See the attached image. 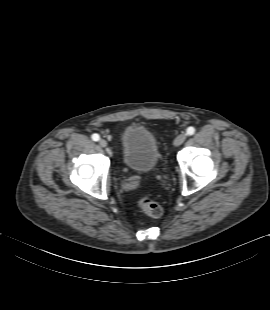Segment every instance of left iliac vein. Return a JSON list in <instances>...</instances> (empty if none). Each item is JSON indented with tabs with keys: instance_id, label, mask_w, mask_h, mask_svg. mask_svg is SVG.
<instances>
[{
	"instance_id": "1",
	"label": "left iliac vein",
	"mask_w": 270,
	"mask_h": 310,
	"mask_svg": "<svg viewBox=\"0 0 270 310\" xmlns=\"http://www.w3.org/2000/svg\"><path fill=\"white\" fill-rule=\"evenodd\" d=\"M187 136L186 134L182 133L179 134L173 141V145L174 146H179L181 145L185 140H186Z\"/></svg>"
}]
</instances>
